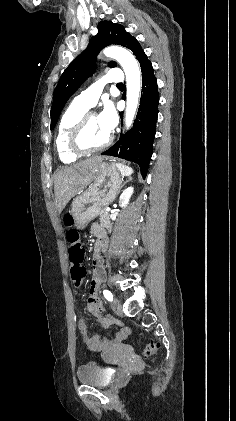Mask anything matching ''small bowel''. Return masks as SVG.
Returning a JSON list of instances; mask_svg holds the SVG:
<instances>
[{"instance_id": "c3829d8e", "label": "small bowel", "mask_w": 236, "mask_h": 421, "mask_svg": "<svg viewBox=\"0 0 236 421\" xmlns=\"http://www.w3.org/2000/svg\"><path fill=\"white\" fill-rule=\"evenodd\" d=\"M100 229H103V227L100 226L99 224H94L92 226V232L95 235H96L97 231H99ZM96 292H97V288H96L95 283H93L92 286H91V289H90L91 298H90L89 303H88V309L89 310H93L94 307L102 308V304H101L100 300L97 298ZM82 327H85L84 322H80V328H82ZM126 332H127V329L125 327L121 326L120 336L125 334Z\"/></svg>"}]
</instances>
